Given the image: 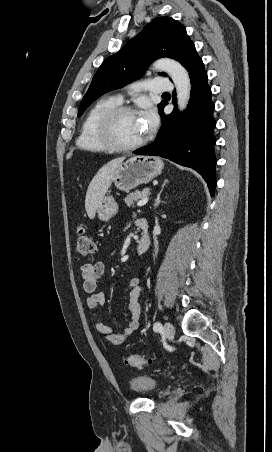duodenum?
<instances>
[{"instance_id":"1","label":"duodenum","mask_w":272,"mask_h":452,"mask_svg":"<svg viewBox=\"0 0 272 452\" xmlns=\"http://www.w3.org/2000/svg\"><path fill=\"white\" fill-rule=\"evenodd\" d=\"M137 226L141 229V238L138 242L136 251L138 256H142L149 248L151 244L149 234V224L147 219L142 218L137 221Z\"/></svg>"}]
</instances>
